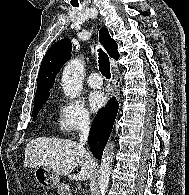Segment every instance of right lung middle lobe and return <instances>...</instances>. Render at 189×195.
<instances>
[{
    "label": "right lung middle lobe",
    "instance_id": "right-lung-middle-lobe-1",
    "mask_svg": "<svg viewBox=\"0 0 189 195\" xmlns=\"http://www.w3.org/2000/svg\"><path fill=\"white\" fill-rule=\"evenodd\" d=\"M45 101L46 99H43L34 103L33 112H32L33 120L36 119V115L38 114L39 110L42 108Z\"/></svg>",
    "mask_w": 189,
    "mask_h": 195
}]
</instances>
